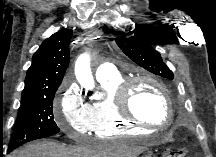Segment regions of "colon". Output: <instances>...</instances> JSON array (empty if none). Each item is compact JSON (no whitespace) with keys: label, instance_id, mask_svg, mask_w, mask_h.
<instances>
[{"label":"colon","instance_id":"obj_1","mask_svg":"<svg viewBox=\"0 0 216 157\" xmlns=\"http://www.w3.org/2000/svg\"><path fill=\"white\" fill-rule=\"evenodd\" d=\"M186 153V148L184 146H179L169 151L166 157H185Z\"/></svg>","mask_w":216,"mask_h":157}]
</instances>
